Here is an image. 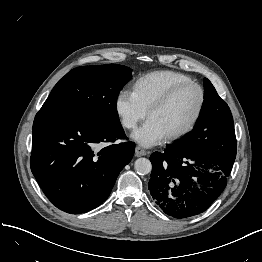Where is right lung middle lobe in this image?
Segmentation results:
<instances>
[{"label":"right lung middle lobe","instance_id":"dd1d6c3e","mask_svg":"<svg viewBox=\"0 0 262 262\" xmlns=\"http://www.w3.org/2000/svg\"><path fill=\"white\" fill-rule=\"evenodd\" d=\"M131 73V68L118 64L77 67L59 80L41 109L75 113L100 125H118L117 98Z\"/></svg>","mask_w":262,"mask_h":262}]
</instances>
